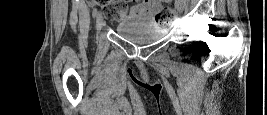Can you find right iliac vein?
I'll return each instance as SVG.
<instances>
[{"label":"right iliac vein","instance_id":"63e3f726","mask_svg":"<svg viewBox=\"0 0 267 115\" xmlns=\"http://www.w3.org/2000/svg\"><path fill=\"white\" fill-rule=\"evenodd\" d=\"M102 25H103V18H102V15L99 14L97 16V19H96V29H97V32L99 33L100 30L102 29Z\"/></svg>","mask_w":267,"mask_h":115}]
</instances>
